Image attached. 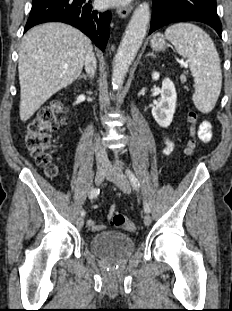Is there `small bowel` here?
<instances>
[{
  "mask_svg": "<svg viewBox=\"0 0 232 311\" xmlns=\"http://www.w3.org/2000/svg\"><path fill=\"white\" fill-rule=\"evenodd\" d=\"M199 137L204 142H209L212 138L211 135V124L208 121H204L199 128ZM161 140L163 141L165 147L163 149L164 154H169L174 149V142L169 136H162ZM115 209V206L111 207V211ZM88 226L92 231H101L105 229V225L97 224L93 219L87 221Z\"/></svg>",
  "mask_w": 232,
  "mask_h": 311,
  "instance_id": "1",
  "label": "small bowel"
}]
</instances>
